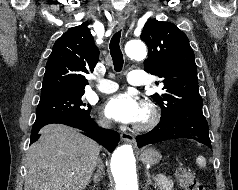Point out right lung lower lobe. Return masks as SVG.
<instances>
[{
  "label": "right lung lower lobe",
  "mask_w": 238,
  "mask_h": 190,
  "mask_svg": "<svg viewBox=\"0 0 238 190\" xmlns=\"http://www.w3.org/2000/svg\"><path fill=\"white\" fill-rule=\"evenodd\" d=\"M47 124H64L74 128H78L87 132L89 137L103 145L110 152L118 145L119 134L109 129H102L96 126L94 120L90 115L76 116V117H59L50 118L42 121H35L31 131L30 144L35 142L38 138L39 130Z\"/></svg>",
  "instance_id": "obj_1"
}]
</instances>
